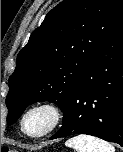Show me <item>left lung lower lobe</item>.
Returning <instances> with one entry per match:
<instances>
[{
  "instance_id": "obj_1",
  "label": "left lung lower lobe",
  "mask_w": 123,
  "mask_h": 152,
  "mask_svg": "<svg viewBox=\"0 0 123 152\" xmlns=\"http://www.w3.org/2000/svg\"><path fill=\"white\" fill-rule=\"evenodd\" d=\"M87 134L123 147V6L63 108L50 139Z\"/></svg>"
}]
</instances>
